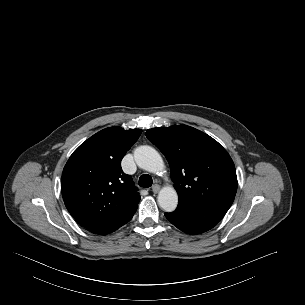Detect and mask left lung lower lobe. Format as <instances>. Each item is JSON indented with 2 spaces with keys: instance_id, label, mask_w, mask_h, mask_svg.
Segmentation results:
<instances>
[{
  "instance_id": "1",
  "label": "left lung lower lobe",
  "mask_w": 305,
  "mask_h": 305,
  "mask_svg": "<svg viewBox=\"0 0 305 305\" xmlns=\"http://www.w3.org/2000/svg\"><path fill=\"white\" fill-rule=\"evenodd\" d=\"M229 208H186L177 207L172 213H165L166 218L178 229L188 234H200L213 228L226 214Z\"/></svg>"
}]
</instances>
